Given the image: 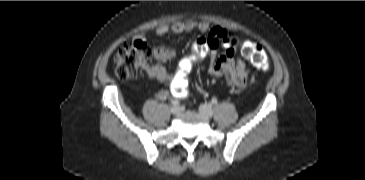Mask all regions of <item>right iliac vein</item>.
I'll return each instance as SVG.
<instances>
[{
	"mask_svg": "<svg viewBox=\"0 0 365 180\" xmlns=\"http://www.w3.org/2000/svg\"><path fill=\"white\" fill-rule=\"evenodd\" d=\"M170 111L172 114H178L180 112V107L178 105H173L171 108H170Z\"/></svg>",
	"mask_w": 365,
	"mask_h": 180,
	"instance_id": "right-iliac-vein-1",
	"label": "right iliac vein"
}]
</instances>
